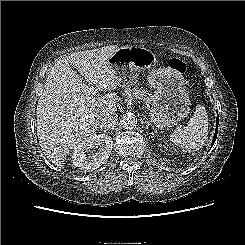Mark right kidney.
I'll list each match as a JSON object with an SVG mask.
<instances>
[{
	"instance_id": "ca27d5eb",
	"label": "right kidney",
	"mask_w": 245,
	"mask_h": 245,
	"mask_svg": "<svg viewBox=\"0 0 245 245\" xmlns=\"http://www.w3.org/2000/svg\"><path fill=\"white\" fill-rule=\"evenodd\" d=\"M113 140L105 134H94L74 147L72 163L84 171H93L109 158ZM88 152V156L86 155Z\"/></svg>"
}]
</instances>
